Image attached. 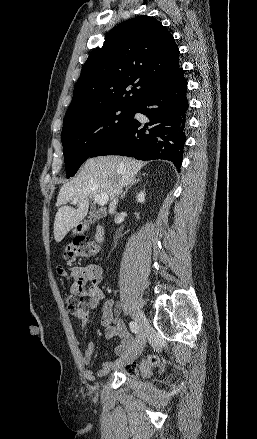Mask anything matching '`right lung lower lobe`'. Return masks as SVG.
<instances>
[{
  "mask_svg": "<svg viewBox=\"0 0 257 439\" xmlns=\"http://www.w3.org/2000/svg\"><path fill=\"white\" fill-rule=\"evenodd\" d=\"M187 82L182 68L155 86L138 104L148 122L133 118L99 144L89 157L122 155L140 160L165 159L180 171L186 141Z\"/></svg>",
  "mask_w": 257,
  "mask_h": 439,
  "instance_id": "obj_1",
  "label": "right lung lower lobe"
}]
</instances>
